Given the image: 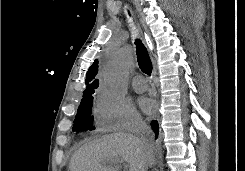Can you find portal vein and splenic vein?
<instances>
[{"label":"portal vein and splenic vein","instance_id":"obj_1","mask_svg":"<svg viewBox=\"0 0 245 171\" xmlns=\"http://www.w3.org/2000/svg\"><path fill=\"white\" fill-rule=\"evenodd\" d=\"M110 163H111V164L123 163V160H120V159H114V160H111Z\"/></svg>","mask_w":245,"mask_h":171}]
</instances>
